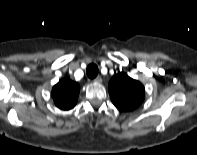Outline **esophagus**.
Masks as SVG:
<instances>
[{
	"mask_svg": "<svg viewBox=\"0 0 197 155\" xmlns=\"http://www.w3.org/2000/svg\"><path fill=\"white\" fill-rule=\"evenodd\" d=\"M94 82L96 83H101L102 82V78L100 76H97L95 79H94Z\"/></svg>",
	"mask_w": 197,
	"mask_h": 155,
	"instance_id": "1",
	"label": "esophagus"
}]
</instances>
